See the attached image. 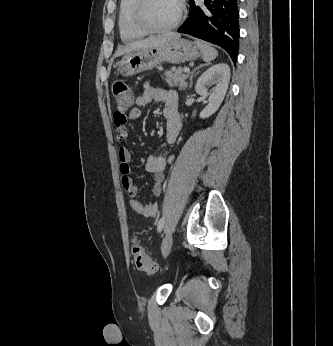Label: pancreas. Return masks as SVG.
<instances>
[{
    "mask_svg": "<svg viewBox=\"0 0 333 346\" xmlns=\"http://www.w3.org/2000/svg\"><path fill=\"white\" fill-rule=\"evenodd\" d=\"M164 76L170 87L178 86L179 90H184L187 87L186 80L188 74L184 73L182 68H178L175 71H166Z\"/></svg>",
    "mask_w": 333,
    "mask_h": 346,
    "instance_id": "1",
    "label": "pancreas"
}]
</instances>
